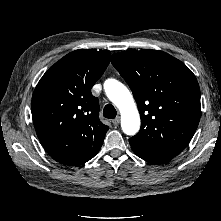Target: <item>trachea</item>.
I'll list each match as a JSON object with an SVG mask.
<instances>
[{
	"label": "trachea",
	"instance_id": "1",
	"mask_svg": "<svg viewBox=\"0 0 221 221\" xmlns=\"http://www.w3.org/2000/svg\"><path fill=\"white\" fill-rule=\"evenodd\" d=\"M117 115L116 109L113 105L107 104L103 109V116L108 119H113Z\"/></svg>",
	"mask_w": 221,
	"mask_h": 221
}]
</instances>
